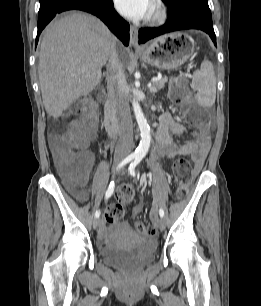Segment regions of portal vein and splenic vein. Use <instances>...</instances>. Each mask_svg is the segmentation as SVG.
<instances>
[{"label":"portal vein and splenic vein","instance_id":"portal-vein-and-splenic-vein-1","mask_svg":"<svg viewBox=\"0 0 261 306\" xmlns=\"http://www.w3.org/2000/svg\"><path fill=\"white\" fill-rule=\"evenodd\" d=\"M156 81V80H154ZM149 89L154 90V88L152 87L151 83L148 84Z\"/></svg>","mask_w":261,"mask_h":306}]
</instances>
